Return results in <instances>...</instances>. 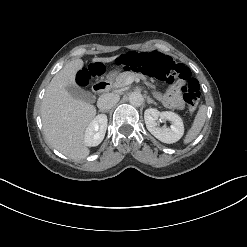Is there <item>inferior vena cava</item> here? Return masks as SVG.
<instances>
[{
    "mask_svg": "<svg viewBox=\"0 0 247 247\" xmlns=\"http://www.w3.org/2000/svg\"><path fill=\"white\" fill-rule=\"evenodd\" d=\"M119 99V95L117 94H104L98 99L97 106L100 110L107 111L111 109L119 101Z\"/></svg>",
    "mask_w": 247,
    "mask_h": 247,
    "instance_id": "1",
    "label": "inferior vena cava"
}]
</instances>
